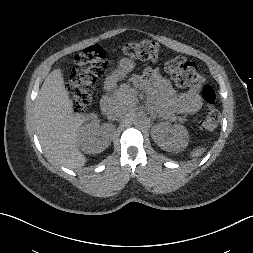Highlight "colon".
<instances>
[{
	"mask_svg": "<svg viewBox=\"0 0 253 253\" xmlns=\"http://www.w3.org/2000/svg\"><path fill=\"white\" fill-rule=\"evenodd\" d=\"M121 53L132 59L157 61L161 57L159 45L152 41L132 42L124 45ZM74 68L66 87L76 112L83 111L91 102L92 91L98 79L105 72L107 61L105 51L98 46H90L74 57ZM166 70L179 86H190L204 82V76L197 65L180 57L167 61ZM202 98L208 105L198 126L203 131H214L219 124L220 114L215 108L216 93L212 86L202 88Z\"/></svg>",
	"mask_w": 253,
	"mask_h": 253,
	"instance_id": "colon-1",
	"label": "colon"
}]
</instances>
